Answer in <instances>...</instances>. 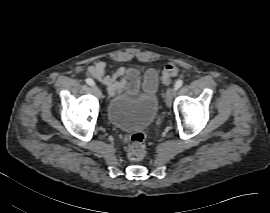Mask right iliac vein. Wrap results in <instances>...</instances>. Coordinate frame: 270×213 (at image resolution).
Listing matches in <instances>:
<instances>
[{"mask_svg": "<svg viewBox=\"0 0 270 213\" xmlns=\"http://www.w3.org/2000/svg\"><path fill=\"white\" fill-rule=\"evenodd\" d=\"M93 93L99 97L101 96V90L97 86L93 87Z\"/></svg>", "mask_w": 270, "mask_h": 213, "instance_id": "1", "label": "right iliac vein"}]
</instances>
